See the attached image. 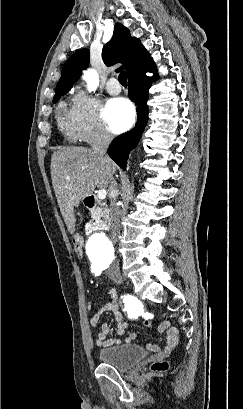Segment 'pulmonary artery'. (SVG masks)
<instances>
[{"instance_id":"pulmonary-artery-1","label":"pulmonary artery","mask_w":243,"mask_h":409,"mask_svg":"<svg viewBox=\"0 0 243 409\" xmlns=\"http://www.w3.org/2000/svg\"><path fill=\"white\" fill-rule=\"evenodd\" d=\"M107 92L111 95H117L121 92V86L116 78H110L106 85Z\"/></svg>"}]
</instances>
